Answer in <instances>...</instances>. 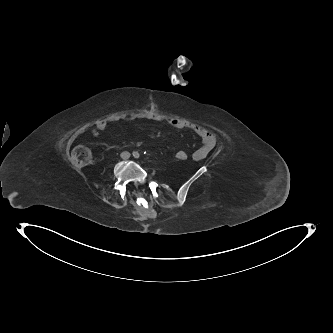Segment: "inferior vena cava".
Instances as JSON below:
<instances>
[{"label":"inferior vena cava","mask_w":333,"mask_h":333,"mask_svg":"<svg viewBox=\"0 0 333 333\" xmlns=\"http://www.w3.org/2000/svg\"><path fill=\"white\" fill-rule=\"evenodd\" d=\"M130 157V153L129 152H124L123 153V158L124 159H128Z\"/></svg>","instance_id":"602c4592"}]
</instances>
